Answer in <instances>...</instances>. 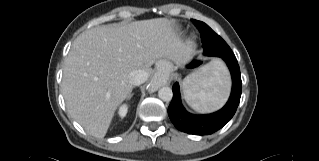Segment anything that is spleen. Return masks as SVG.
<instances>
[{
    "label": "spleen",
    "instance_id": "spleen-1",
    "mask_svg": "<svg viewBox=\"0 0 319 161\" xmlns=\"http://www.w3.org/2000/svg\"><path fill=\"white\" fill-rule=\"evenodd\" d=\"M230 80L227 68L219 61L209 63L201 72L187 76L183 95L187 104L198 112H212L226 101Z\"/></svg>",
    "mask_w": 319,
    "mask_h": 161
}]
</instances>
